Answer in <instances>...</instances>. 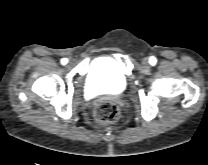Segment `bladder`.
Here are the masks:
<instances>
[{
	"instance_id": "31cf9c89",
	"label": "bladder",
	"mask_w": 208,
	"mask_h": 165,
	"mask_svg": "<svg viewBox=\"0 0 208 165\" xmlns=\"http://www.w3.org/2000/svg\"><path fill=\"white\" fill-rule=\"evenodd\" d=\"M127 83V76L119 64L109 57L94 60L86 76V86L92 94H120Z\"/></svg>"
}]
</instances>
